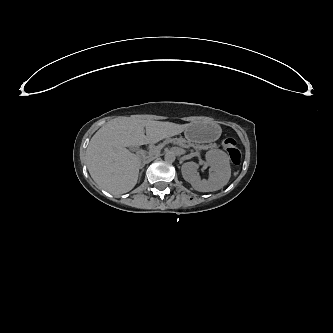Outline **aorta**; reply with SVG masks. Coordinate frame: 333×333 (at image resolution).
Here are the masks:
<instances>
[{"label":"aorta","mask_w":333,"mask_h":333,"mask_svg":"<svg viewBox=\"0 0 333 333\" xmlns=\"http://www.w3.org/2000/svg\"><path fill=\"white\" fill-rule=\"evenodd\" d=\"M164 159L168 163H173L176 159V155L173 152H167L164 156Z\"/></svg>","instance_id":"obj_1"}]
</instances>
